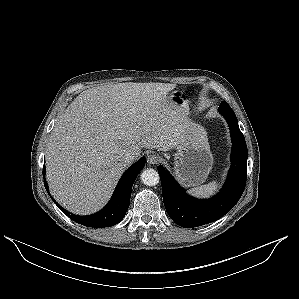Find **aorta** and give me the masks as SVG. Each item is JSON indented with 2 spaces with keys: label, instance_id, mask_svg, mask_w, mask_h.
I'll return each instance as SVG.
<instances>
[{
  "label": "aorta",
  "instance_id": "762f6f07",
  "mask_svg": "<svg viewBox=\"0 0 299 299\" xmlns=\"http://www.w3.org/2000/svg\"><path fill=\"white\" fill-rule=\"evenodd\" d=\"M141 180L147 186H155L159 183L160 177L156 170L150 168L141 173Z\"/></svg>",
  "mask_w": 299,
  "mask_h": 299
}]
</instances>
